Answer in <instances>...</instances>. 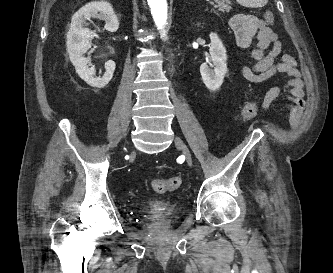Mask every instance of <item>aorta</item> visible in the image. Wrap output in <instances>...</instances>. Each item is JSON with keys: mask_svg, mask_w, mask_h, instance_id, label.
<instances>
[{"mask_svg": "<svg viewBox=\"0 0 333 273\" xmlns=\"http://www.w3.org/2000/svg\"><path fill=\"white\" fill-rule=\"evenodd\" d=\"M157 29L165 36V27L168 19L167 0H147Z\"/></svg>", "mask_w": 333, "mask_h": 273, "instance_id": "762f6f07", "label": "aorta"}]
</instances>
